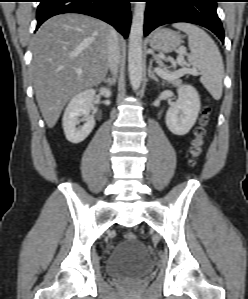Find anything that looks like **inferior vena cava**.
Here are the masks:
<instances>
[{
	"instance_id": "1",
	"label": "inferior vena cava",
	"mask_w": 248,
	"mask_h": 299,
	"mask_svg": "<svg viewBox=\"0 0 248 299\" xmlns=\"http://www.w3.org/2000/svg\"><path fill=\"white\" fill-rule=\"evenodd\" d=\"M106 46L108 67L111 70V72H113V74H116L119 64V40L117 37V33L114 29L110 30Z\"/></svg>"
}]
</instances>
